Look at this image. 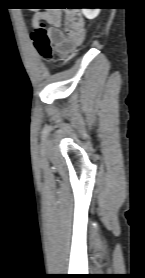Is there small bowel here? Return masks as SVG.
Masks as SVG:
<instances>
[{
	"label": "small bowel",
	"mask_w": 145,
	"mask_h": 278,
	"mask_svg": "<svg viewBox=\"0 0 145 278\" xmlns=\"http://www.w3.org/2000/svg\"><path fill=\"white\" fill-rule=\"evenodd\" d=\"M62 16H64L65 24L61 29ZM45 17L50 24L47 34L50 43L56 53L61 58L70 57L81 45L85 38V27L82 18L74 11L54 10L47 14H37L32 21L33 30L38 28V20Z\"/></svg>",
	"instance_id": "small-bowel-1"
}]
</instances>
